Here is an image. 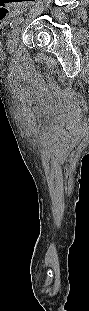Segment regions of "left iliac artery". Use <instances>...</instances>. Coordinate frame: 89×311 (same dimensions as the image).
Returning <instances> with one entry per match:
<instances>
[{
    "instance_id": "left-iliac-artery-1",
    "label": "left iliac artery",
    "mask_w": 89,
    "mask_h": 311,
    "mask_svg": "<svg viewBox=\"0 0 89 311\" xmlns=\"http://www.w3.org/2000/svg\"><path fill=\"white\" fill-rule=\"evenodd\" d=\"M23 20H24L23 18H17L10 23V26L13 28L14 26H17L18 24L22 23Z\"/></svg>"
}]
</instances>
